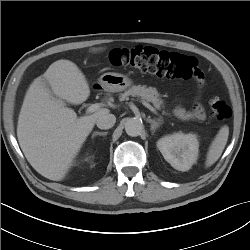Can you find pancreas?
I'll use <instances>...</instances> for the list:
<instances>
[{
  "label": "pancreas",
  "mask_w": 250,
  "mask_h": 250,
  "mask_svg": "<svg viewBox=\"0 0 250 250\" xmlns=\"http://www.w3.org/2000/svg\"><path fill=\"white\" fill-rule=\"evenodd\" d=\"M128 96H139L142 99L151 102L158 110H161L164 107V102L161 99V95L154 87H146L145 85L132 86L120 95V100H126ZM163 114H166V112L163 111Z\"/></svg>",
  "instance_id": "obj_1"
}]
</instances>
